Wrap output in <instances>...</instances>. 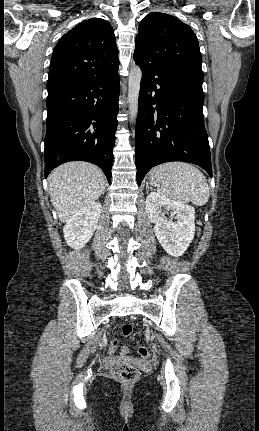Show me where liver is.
Wrapping results in <instances>:
<instances>
[{
    "mask_svg": "<svg viewBox=\"0 0 259 431\" xmlns=\"http://www.w3.org/2000/svg\"><path fill=\"white\" fill-rule=\"evenodd\" d=\"M51 202L61 222L95 202L105 189L103 172L87 162L65 163L48 178Z\"/></svg>",
    "mask_w": 259,
    "mask_h": 431,
    "instance_id": "1",
    "label": "liver"
}]
</instances>
